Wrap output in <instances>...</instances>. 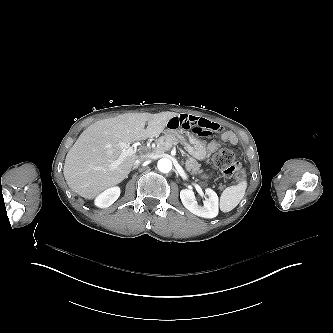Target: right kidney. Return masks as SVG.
I'll list each match as a JSON object with an SVG mask.
<instances>
[{"label":"right kidney","mask_w":333,"mask_h":333,"mask_svg":"<svg viewBox=\"0 0 333 333\" xmlns=\"http://www.w3.org/2000/svg\"><path fill=\"white\" fill-rule=\"evenodd\" d=\"M120 196L119 187H111L99 194L95 200V206L99 208H107L111 206Z\"/></svg>","instance_id":"obj_1"}]
</instances>
